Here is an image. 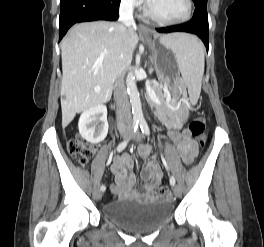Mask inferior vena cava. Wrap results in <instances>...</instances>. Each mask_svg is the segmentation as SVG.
<instances>
[{
    "mask_svg": "<svg viewBox=\"0 0 264 247\" xmlns=\"http://www.w3.org/2000/svg\"><path fill=\"white\" fill-rule=\"evenodd\" d=\"M133 3L134 0H122L119 9V16L121 23L129 28L134 24L133 19ZM114 100L117 107V125L119 128L131 126L132 115L131 108L127 96L126 86L121 73L115 80L114 85Z\"/></svg>",
    "mask_w": 264,
    "mask_h": 247,
    "instance_id": "1",
    "label": "inferior vena cava"
}]
</instances>
